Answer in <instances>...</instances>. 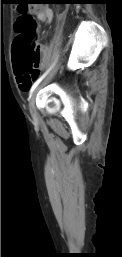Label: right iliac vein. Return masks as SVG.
<instances>
[{"label":"right iliac vein","mask_w":122,"mask_h":257,"mask_svg":"<svg viewBox=\"0 0 122 257\" xmlns=\"http://www.w3.org/2000/svg\"><path fill=\"white\" fill-rule=\"evenodd\" d=\"M57 69H55L52 74L44 81L43 84L47 83L48 80L54 75V73L56 72ZM41 86H39L37 89H35V91L32 93L31 97H30V100H29V110H30V113L33 117L36 116V108H35V97H36V93L37 91L39 90Z\"/></svg>","instance_id":"63e3f726"}]
</instances>
